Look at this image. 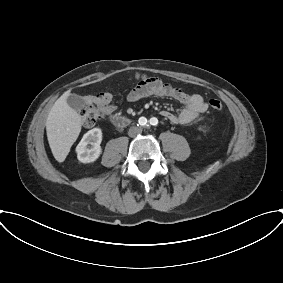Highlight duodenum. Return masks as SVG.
Wrapping results in <instances>:
<instances>
[{
    "label": "duodenum",
    "mask_w": 283,
    "mask_h": 283,
    "mask_svg": "<svg viewBox=\"0 0 283 283\" xmlns=\"http://www.w3.org/2000/svg\"><path fill=\"white\" fill-rule=\"evenodd\" d=\"M110 121L114 126L118 128H123L131 123V120L128 117L120 115L112 116Z\"/></svg>",
    "instance_id": "duodenum-1"
}]
</instances>
